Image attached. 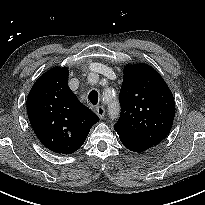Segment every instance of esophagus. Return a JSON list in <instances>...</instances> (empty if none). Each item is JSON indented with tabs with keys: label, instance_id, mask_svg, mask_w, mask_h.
<instances>
[{
	"label": "esophagus",
	"instance_id": "obj_1",
	"mask_svg": "<svg viewBox=\"0 0 205 205\" xmlns=\"http://www.w3.org/2000/svg\"><path fill=\"white\" fill-rule=\"evenodd\" d=\"M95 112H96V114H97V116L99 118H101V119L104 118V116H105V109H104L103 106H97L95 108Z\"/></svg>",
	"mask_w": 205,
	"mask_h": 205
}]
</instances>
